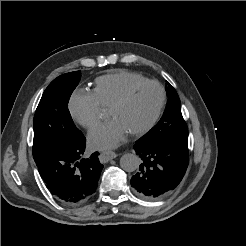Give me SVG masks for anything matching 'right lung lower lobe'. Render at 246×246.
Segmentation results:
<instances>
[{"label": "right lung lower lobe", "instance_id": "right-lung-lower-lobe-1", "mask_svg": "<svg viewBox=\"0 0 246 246\" xmlns=\"http://www.w3.org/2000/svg\"><path fill=\"white\" fill-rule=\"evenodd\" d=\"M86 138L80 131L69 141L51 145L34 158L47 188L60 202L76 205L95 192L103 168L98 152L83 158Z\"/></svg>", "mask_w": 246, "mask_h": 246}]
</instances>
